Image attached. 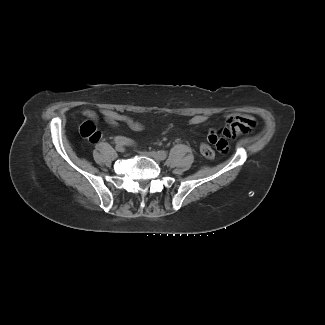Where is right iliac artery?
<instances>
[{
  "label": "right iliac artery",
  "mask_w": 325,
  "mask_h": 325,
  "mask_svg": "<svg viewBox=\"0 0 325 325\" xmlns=\"http://www.w3.org/2000/svg\"><path fill=\"white\" fill-rule=\"evenodd\" d=\"M115 141L117 143V146L133 145L134 144L133 140L126 138V137H117Z\"/></svg>",
  "instance_id": "82829eb1"
}]
</instances>
